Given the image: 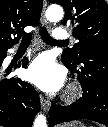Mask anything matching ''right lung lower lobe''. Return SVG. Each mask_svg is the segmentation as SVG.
<instances>
[{
	"mask_svg": "<svg viewBox=\"0 0 108 127\" xmlns=\"http://www.w3.org/2000/svg\"><path fill=\"white\" fill-rule=\"evenodd\" d=\"M9 47L0 48V67ZM28 59L19 62L26 67ZM9 72H6V75ZM0 69V125L4 127H31L40 110V100L32 85L19 78H5Z\"/></svg>",
	"mask_w": 108,
	"mask_h": 127,
	"instance_id": "obj_1",
	"label": "right lung lower lobe"
}]
</instances>
